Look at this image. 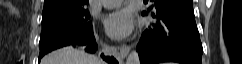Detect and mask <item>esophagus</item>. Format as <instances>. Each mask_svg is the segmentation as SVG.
<instances>
[{
    "label": "esophagus",
    "instance_id": "34e87169",
    "mask_svg": "<svg viewBox=\"0 0 242 64\" xmlns=\"http://www.w3.org/2000/svg\"><path fill=\"white\" fill-rule=\"evenodd\" d=\"M130 51V47L128 45H123L120 47V56L121 58H125Z\"/></svg>",
    "mask_w": 242,
    "mask_h": 64
}]
</instances>
